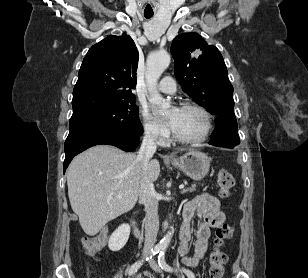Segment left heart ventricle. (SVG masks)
<instances>
[{"label": "left heart ventricle", "mask_w": 308, "mask_h": 278, "mask_svg": "<svg viewBox=\"0 0 308 278\" xmlns=\"http://www.w3.org/2000/svg\"><path fill=\"white\" fill-rule=\"evenodd\" d=\"M204 128L205 120L198 111L193 109H180L173 130L180 136L192 138L201 135Z\"/></svg>", "instance_id": "left-heart-ventricle-1"}]
</instances>
